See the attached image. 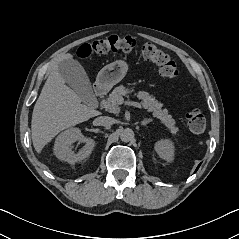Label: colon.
Wrapping results in <instances>:
<instances>
[{
  "mask_svg": "<svg viewBox=\"0 0 239 239\" xmlns=\"http://www.w3.org/2000/svg\"><path fill=\"white\" fill-rule=\"evenodd\" d=\"M136 46V41L130 36L112 35L107 38L95 40L91 43L82 44L77 55L86 59L94 54L102 55L109 52H131ZM142 57L157 65L160 75L165 79H175L179 75V68L174 60L165 52L153 44L141 46ZM189 129L193 133H202L206 126L205 117L199 110H191L186 115Z\"/></svg>",
  "mask_w": 239,
  "mask_h": 239,
  "instance_id": "1",
  "label": "colon"
}]
</instances>
